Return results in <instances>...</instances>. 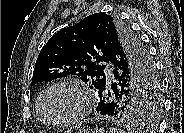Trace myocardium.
I'll return each instance as SVG.
<instances>
[{
    "mask_svg": "<svg viewBox=\"0 0 184 133\" xmlns=\"http://www.w3.org/2000/svg\"><path fill=\"white\" fill-rule=\"evenodd\" d=\"M57 88H69L77 94L79 99V107L76 113H74L72 116L65 119H53L52 117H50V115L46 110V100L49 94ZM89 109H90V103H89L88 92L81 83L76 81H59L50 85L43 92L40 100V111L44 119L46 120V122L54 126H66V125H72L74 123H77L86 116V114L89 112Z\"/></svg>",
    "mask_w": 184,
    "mask_h": 133,
    "instance_id": "f54148a6",
    "label": "myocardium"
}]
</instances>
